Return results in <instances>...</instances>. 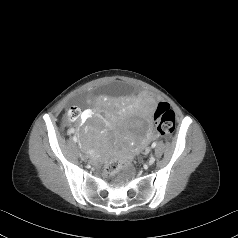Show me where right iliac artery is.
<instances>
[{
    "mask_svg": "<svg viewBox=\"0 0 238 238\" xmlns=\"http://www.w3.org/2000/svg\"><path fill=\"white\" fill-rule=\"evenodd\" d=\"M73 140L76 142V141H77V137H76V136H73Z\"/></svg>",
    "mask_w": 238,
    "mask_h": 238,
    "instance_id": "right-iliac-artery-1",
    "label": "right iliac artery"
}]
</instances>
